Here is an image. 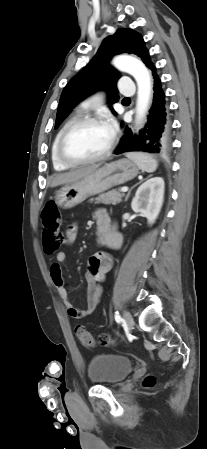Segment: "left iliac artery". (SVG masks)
I'll list each match as a JSON object with an SVG mask.
<instances>
[{
  "instance_id": "obj_1",
  "label": "left iliac artery",
  "mask_w": 207,
  "mask_h": 449,
  "mask_svg": "<svg viewBox=\"0 0 207 449\" xmlns=\"http://www.w3.org/2000/svg\"><path fill=\"white\" fill-rule=\"evenodd\" d=\"M115 320L117 323H120L122 321V318L118 312H115Z\"/></svg>"
}]
</instances>
